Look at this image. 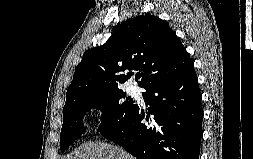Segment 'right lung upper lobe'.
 Instances as JSON below:
<instances>
[{
	"label": "right lung upper lobe",
	"instance_id": "right-lung-upper-lobe-1",
	"mask_svg": "<svg viewBox=\"0 0 253 159\" xmlns=\"http://www.w3.org/2000/svg\"><path fill=\"white\" fill-rule=\"evenodd\" d=\"M193 62L169 24L146 14L122 23L100 47L87 50L67 89L66 103L102 92L120 90L132 72L140 70L138 85L153 84L180 76Z\"/></svg>",
	"mask_w": 253,
	"mask_h": 159
}]
</instances>
